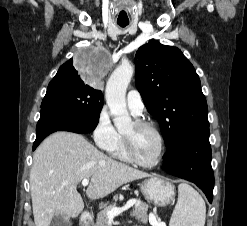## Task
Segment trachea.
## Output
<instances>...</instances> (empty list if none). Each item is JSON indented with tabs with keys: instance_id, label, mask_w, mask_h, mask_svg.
<instances>
[{
	"instance_id": "1",
	"label": "trachea",
	"mask_w": 247,
	"mask_h": 226,
	"mask_svg": "<svg viewBox=\"0 0 247 226\" xmlns=\"http://www.w3.org/2000/svg\"><path fill=\"white\" fill-rule=\"evenodd\" d=\"M127 25H128V23H119V26L122 28L126 27Z\"/></svg>"
}]
</instances>
